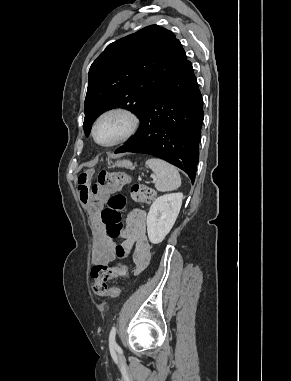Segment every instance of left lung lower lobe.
Masks as SVG:
<instances>
[{"label": "left lung lower lobe", "mask_w": 291, "mask_h": 381, "mask_svg": "<svg viewBox=\"0 0 291 381\" xmlns=\"http://www.w3.org/2000/svg\"><path fill=\"white\" fill-rule=\"evenodd\" d=\"M203 101L186 59L147 101L138 132L115 153H146L185 171L192 183L199 160Z\"/></svg>", "instance_id": "obj_1"}]
</instances>
